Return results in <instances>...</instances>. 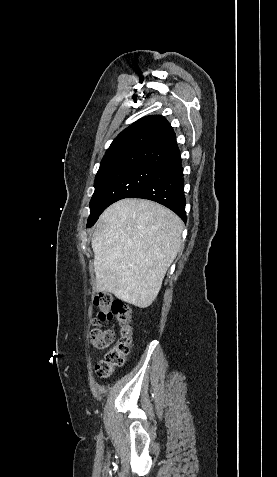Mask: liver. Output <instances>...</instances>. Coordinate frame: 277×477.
Wrapping results in <instances>:
<instances>
[{
  "mask_svg": "<svg viewBox=\"0 0 277 477\" xmlns=\"http://www.w3.org/2000/svg\"><path fill=\"white\" fill-rule=\"evenodd\" d=\"M183 228L175 213L153 201L123 199L109 206L91 242L96 291L150 306L181 249Z\"/></svg>",
  "mask_w": 277,
  "mask_h": 477,
  "instance_id": "1",
  "label": "liver"
}]
</instances>
